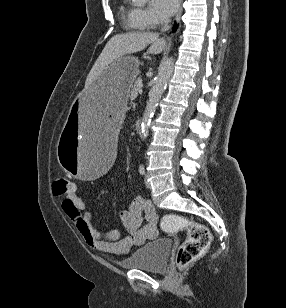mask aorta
Masks as SVG:
<instances>
[{
    "label": "aorta",
    "mask_w": 286,
    "mask_h": 308,
    "mask_svg": "<svg viewBox=\"0 0 286 308\" xmlns=\"http://www.w3.org/2000/svg\"><path fill=\"white\" fill-rule=\"evenodd\" d=\"M147 1L148 0H132V2L135 4H144ZM173 71L174 59L173 57H169L161 63L158 75L154 82V86L152 87L149 94V100L147 102L141 123V136L143 140L148 137L151 119L156 110L158 102L161 99V96L173 74Z\"/></svg>",
    "instance_id": "1"
}]
</instances>
